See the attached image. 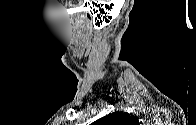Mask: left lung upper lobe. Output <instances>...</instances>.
I'll return each mask as SVG.
<instances>
[{"mask_svg":"<svg viewBox=\"0 0 196 125\" xmlns=\"http://www.w3.org/2000/svg\"><path fill=\"white\" fill-rule=\"evenodd\" d=\"M96 125H136L138 120L124 112L108 114L94 122Z\"/></svg>","mask_w":196,"mask_h":125,"instance_id":"obj_1","label":"left lung upper lobe"}]
</instances>
